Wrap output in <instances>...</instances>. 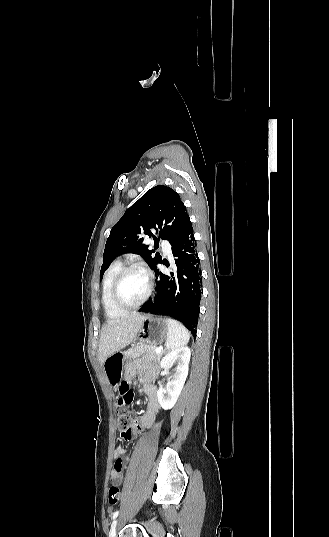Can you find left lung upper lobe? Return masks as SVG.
<instances>
[{"label": "left lung upper lobe", "mask_w": 329, "mask_h": 537, "mask_svg": "<svg viewBox=\"0 0 329 537\" xmlns=\"http://www.w3.org/2000/svg\"><path fill=\"white\" fill-rule=\"evenodd\" d=\"M189 223L186 207L177 192L163 185L151 188L126 210L111 229L105 245L100 279L113 259L123 253L140 255L154 270L161 262V256L159 253L153 254L154 251L142 243L144 236L154 237L153 231L156 230L159 231V238L168 240L172 245Z\"/></svg>", "instance_id": "5c2ea615"}]
</instances>
